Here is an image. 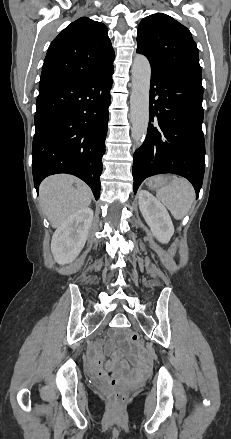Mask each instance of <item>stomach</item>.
<instances>
[{
	"label": "stomach",
	"instance_id": "0dacf381",
	"mask_svg": "<svg viewBox=\"0 0 231 439\" xmlns=\"http://www.w3.org/2000/svg\"><path fill=\"white\" fill-rule=\"evenodd\" d=\"M168 178L166 176H157L148 180V185L152 188H159L167 184Z\"/></svg>",
	"mask_w": 231,
	"mask_h": 439
}]
</instances>
